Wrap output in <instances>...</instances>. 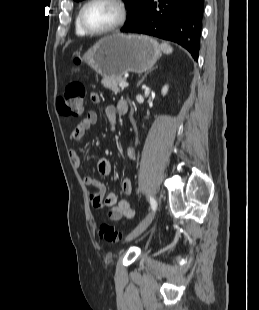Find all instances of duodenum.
Returning a JSON list of instances; mask_svg holds the SVG:
<instances>
[{"label":"duodenum","mask_w":259,"mask_h":310,"mask_svg":"<svg viewBox=\"0 0 259 310\" xmlns=\"http://www.w3.org/2000/svg\"><path fill=\"white\" fill-rule=\"evenodd\" d=\"M128 110V102L127 101H123L119 107H118V112L120 114H125Z\"/></svg>","instance_id":"1"}]
</instances>
